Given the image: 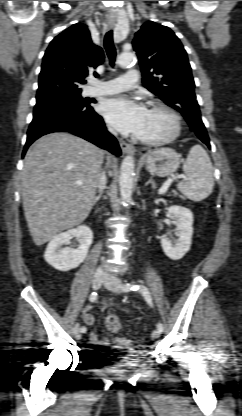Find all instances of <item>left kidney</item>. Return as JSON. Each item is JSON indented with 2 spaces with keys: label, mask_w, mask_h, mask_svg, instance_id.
<instances>
[{
  "label": "left kidney",
  "mask_w": 242,
  "mask_h": 416,
  "mask_svg": "<svg viewBox=\"0 0 242 416\" xmlns=\"http://www.w3.org/2000/svg\"><path fill=\"white\" fill-rule=\"evenodd\" d=\"M168 214L177 228L176 240L161 238L164 253L172 260L181 259L189 250L193 234V213L190 209L178 205L169 207Z\"/></svg>",
  "instance_id": "obj_1"
}]
</instances>
